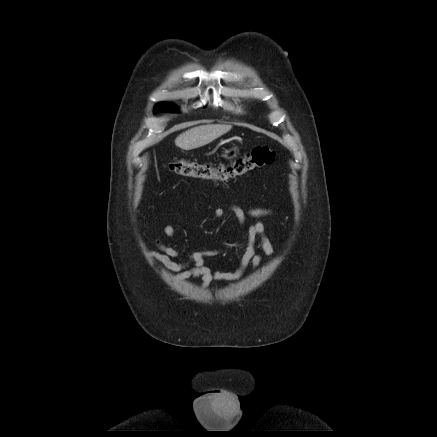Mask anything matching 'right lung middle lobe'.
I'll return each mask as SVG.
<instances>
[{"label": "right lung middle lobe", "instance_id": "dd1d6c3e", "mask_svg": "<svg viewBox=\"0 0 437 437\" xmlns=\"http://www.w3.org/2000/svg\"><path fill=\"white\" fill-rule=\"evenodd\" d=\"M173 111L172 107L168 103H159L155 106L154 113H160V112H171Z\"/></svg>", "mask_w": 437, "mask_h": 437}]
</instances>
